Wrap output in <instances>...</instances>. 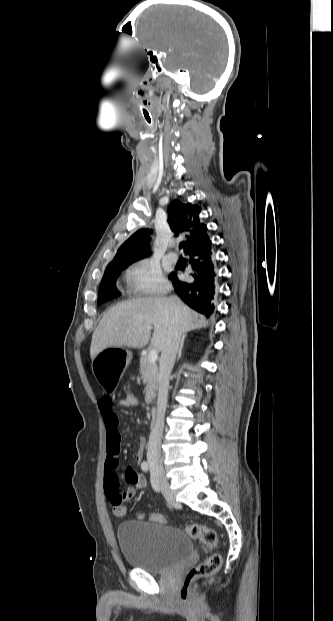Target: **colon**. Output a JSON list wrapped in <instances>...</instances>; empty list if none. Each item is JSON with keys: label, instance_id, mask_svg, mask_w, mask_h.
I'll list each match as a JSON object with an SVG mask.
<instances>
[{"label": "colon", "instance_id": "1", "mask_svg": "<svg viewBox=\"0 0 333 621\" xmlns=\"http://www.w3.org/2000/svg\"><path fill=\"white\" fill-rule=\"evenodd\" d=\"M121 405L127 409L136 408L139 405L138 395L132 390L127 391L121 398ZM113 513L117 516H122L125 513V507L117 505L113 508ZM148 519L149 521L156 523H166L165 517L161 514H151ZM186 532L191 538L198 539L208 550H213L219 545L215 530L207 526L192 523L187 526ZM220 566L221 556L215 553L211 554L204 562L192 567L187 572L184 582L180 588V601L186 603L189 600L191 585L195 580L214 574L219 570Z\"/></svg>", "mask_w": 333, "mask_h": 621}]
</instances>
